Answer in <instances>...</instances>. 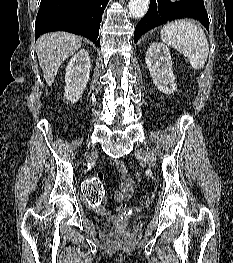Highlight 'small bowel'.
Here are the masks:
<instances>
[{
    "label": "small bowel",
    "mask_w": 233,
    "mask_h": 263,
    "mask_svg": "<svg viewBox=\"0 0 233 263\" xmlns=\"http://www.w3.org/2000/svg\"><path fill=\"white\" fill-rule=\"evenodd\" d=\"M111 165L119 176L118 189L114 191V199L121 203L118 206V211H124L126 209V205L123 202L129 200L132 197L134 191V180L130 176L126 165L121 160L114 159L112 160ZM103 201L104 193L101 199V204L98 206V208H95V210L101 214L105 213Z\"/></svg>",
    "instance_id": "c3829d8e"
}]
</instances>
